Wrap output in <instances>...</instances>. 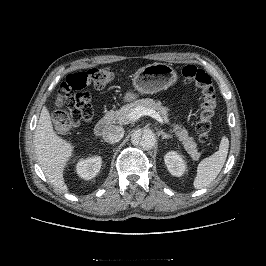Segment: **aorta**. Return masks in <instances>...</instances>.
<instances>
[{
  "label": "aorta",
  "instance_id": "762f6f07",
  "mask_svg": "<svg viewBox=\"0 0 266 266\" xmlns=\"http://www.w3.org/2000/svg\"><path fill=\"white\" fill-rule=\"evenodd\" d=\"M132 143L140 145L143 149L149 150L155 146L156 137L152 130H136L131 137Z\"/></svg>",
  "mask_w": 266,
  "mask_h": 266
}]
</instances>
